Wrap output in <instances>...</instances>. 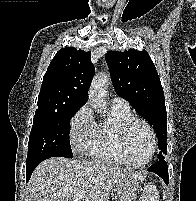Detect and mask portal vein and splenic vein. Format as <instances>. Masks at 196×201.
I'll return each instance as SVG.
<instances>
[{
    "label": "portal vein and splenic vein",
    "instance_id": "18ae733b",
    "mask_svg": "<svg viewBox=\"0 0 196 201\" xmlns=\"http://www.w3.org/2000/svg\"><path fill=\"white\" fill-rule=\"evenodd\" d=\"M79 198H82V193L79 195ZM77 201V200H76Z\"/></svg>",
    "mask_w": 196,
    "mask_h": 201
}]
</instances>
